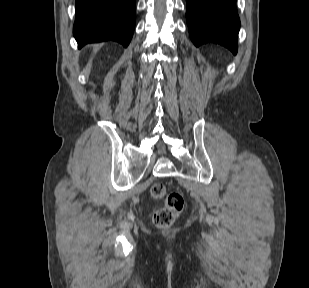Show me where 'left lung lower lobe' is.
I'll list each match as a JSON object with an SVG mask.
<instances>
[{"mask_svg": "<svg viewBox=\"0 0 309 288\" xmlns=\"http://www.w3.org/2000/svg\"><path fill=\"white\" fill-rule=\"evenodd\" d=\"M186 19L195 46L218 43L237 53L240 19L236 0H186Z\"/></svg>", "mask_w": 309, "mask_h": 288, "instance_id": "0a47b994", "label": "left lung lower lobe"}]
</instances>
